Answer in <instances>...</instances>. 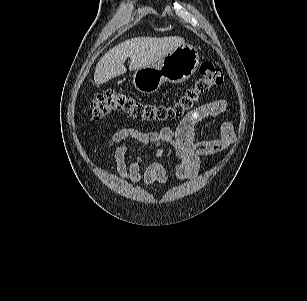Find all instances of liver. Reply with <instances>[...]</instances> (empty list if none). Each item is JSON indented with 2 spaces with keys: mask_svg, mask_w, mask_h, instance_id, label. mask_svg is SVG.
Listing matches in <instances>:
<instances>
[{
  "mask_svg": "<svg viewBox=\"0 0 307 301\" xmlns=\"http://www.w3.org/2000/svg\"><path fill=\"white\" fill-rule=\"evenodd\" d=\"M184 44L181 37H138L126 40L109 50L98 62L95 73V84L100 85L124 74L127 70L124 63L130 58L129 70L157 63L167 56L172 49Z\"/></svg>",
  "mask_w": 307,
  "mask_h": 301,
  "instance_id": "liver-1",
  "label": "liver"
}]
</instances>
